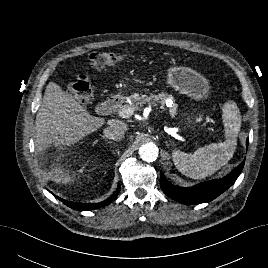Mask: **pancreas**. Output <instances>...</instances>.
Returning a JSON list of instances; mask_svg holds the SVG:
<instances>
[{
  "label": "pancreas",
  "mask_w": 268,
  "mask_h": 268,
  "mask_svg": "<svg viewBox=\"0 0 268 268\" xmlns=\"http://www.w3.org/2000/svg\"><path fill=\"white\" fill-rule=\"evenodd\" d=\"M129 99L131 101V105L125 104L123 106L133 107L134 109H140L144 104L158 103L162 106L167 105L169 107V112L172 117H174L177 114V104L175 103V99L171 94L161 93L158 95L151 94L150 96L147 95L140 96L139 94L134 93L131 96H129ZM168 100H171L172 102H168Z\"/></svg>",
  "instance_id": "pancreas-1"
}]
</instances>
